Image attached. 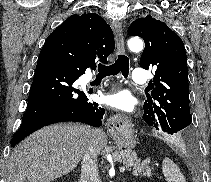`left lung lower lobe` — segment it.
Returning <instances> with one entry per match:
<instances>
[{"label":"left lung lower lobe","mask_w":211,"mask_h":182,"mask_svg":"<svg viewBox=\"0 0 211 182\" xmlns=\"http://www.w3.org/2000/svg\"><path fill=\"white\" fill-rule=\"evenodd\" d=\"M181 140H182V139H181ZM183 141L188 142L189 140H183Z\"/></svg>","instance_id":"left-lung-lower-lobe-1"}]
</instances>
